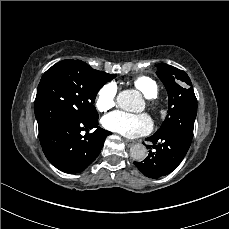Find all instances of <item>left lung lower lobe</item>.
<instances>
[{
  "label": "left lung lower lobe",
  "instance_id": "obj_1",
  "mask_svg": "<svg viewBox=\"0 0 229 229\" xmlns=\"http://www.w3.org/2000/svg\"><path fill=\"white\" fill-rule=\"evenodd\" d=\"M146 140L153 143L155 151H149L144 161L134 164L149 178H159L174 171L185 157L192 141L180 135L165 133H155Z\"/></svg>",
  "mask_w": 229,
  "mask_h": 229
}]
</instances>
